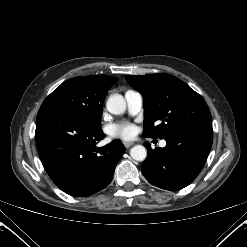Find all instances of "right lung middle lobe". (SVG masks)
Masks as SVG:
<instances>
[{
	"mask_svg": "<svg viewBox=\"0 0 247 247\" xmlns=\"http://www.w3.org/2000/svg\"><path fill=\"white\" fill-rule=\"evenodd\" d=\"M106 93L90 76L72 78L56 88L41 107L70 111L93 126H100ZM40 107V108H41Z\"/></svg>",
	"mask_w": 247,
	"mask_h": 247,
	"instance_id": "dd1d6c3e",
	"label": "right lung middle lobe"
}]
</instances>
